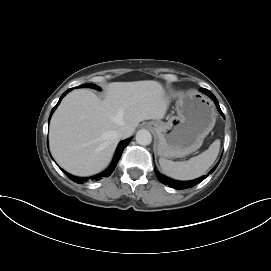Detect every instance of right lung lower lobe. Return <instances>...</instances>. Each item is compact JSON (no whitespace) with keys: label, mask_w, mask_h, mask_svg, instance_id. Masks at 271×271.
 Here are the masks:
<instances>
[{"label":"right lung lower lobe","mask_w":271,"mask_h":271,"mask_svg":"<svg viewBox=\"0 0 271 271\" xmlns=\"http://www.w3.org/2000/svg\"><path fill=\"white\" fill-rule=\"evenodd\" d=\"M71 89H68L66 92H64L62 94V96L60 97L58 103L56 104V106L52 109L51 113H50V116H49V120H50V117L52 115V113L54 112V110L56 109V107L58 106V104L60 103L61 99L69 92L71 91ZM132 138H129V139H126L124 141H121L117 147V150H116V153H115V156H114V159L110 165V167L103 173L99 174V175H96V176H93L91 177V179H98L100 178L101 176H109L111 175V173L113 172V170L115 169L121 155H122V152L124 150V148L129 144V142L131 141ZM62 170V169H61ZM71 180H73L74 182L76 183H83L87 180V178H80V177H76V176H73L67 172H65L64 170H62Z\"/></svg>","instance_id":"98d812e1"}]
</instances>
